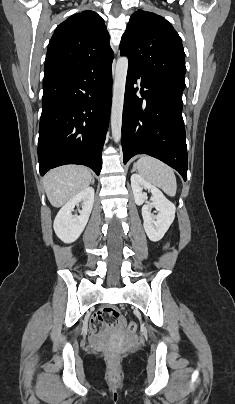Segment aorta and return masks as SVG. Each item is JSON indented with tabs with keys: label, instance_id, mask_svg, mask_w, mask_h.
Here are the masks:
<instances>
[{
	"label": "aorta",
	"instance_id": "obj_1",
	"mask_svg": "<svg viewBox=\"0 0 235 404\" xmlns=\"http://www.w3.org/2000/svg\"><path fill=\"white\" fill-rule=\"evenodd\" d=\"M127 70L128 59L126 57H120L116 64L111 114V130L115 142H118L121 139L122 113Z\"/></svg>",
	"mask_w": 235,
	"mask_h": 404
}]
</instances>
